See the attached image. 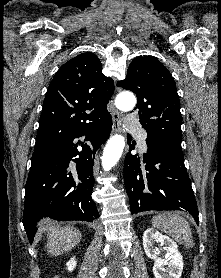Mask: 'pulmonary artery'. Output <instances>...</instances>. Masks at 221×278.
<instances>
[{
    "label": "pulmonary artery",
    "instance_id": "obj_1",
    "mask_svg": "<svg viewBox=\"0 0 221 278\" xmlns=\"http://www.w3.org/2000/svg\"><path fill=\"white\" fill-rule=\"evenodd\" d=\"M126 126L129 129H134L139 131V136H138L139 145L141 149L145 151L147 149V142H146L147 136L143 130H140L138 120L135 119V117L133 116H128L126 119Z\"/></svg>",
    "mask_w": 221,
    "mask_h": 278
}]
</instances>
